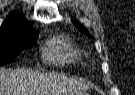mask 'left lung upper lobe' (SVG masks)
I'll return each instance as SVG.
<instances>
[{"instance_id": "left-lung-upper-lobe-1", "label": "left lung upper lobe", "mask_w": 135, "mask_h": 95, "mask_svg": "<svg viewBox=\"0 0 135 95\" xmlns=\"http://www.w3.org/2000/svg\"><path fill=\"white\" fill-rule=\"evenodd\" d=\"M74 25L77 27V29H78L80 32H82V33H84V34H86V35L92 37V36L89 34V32H88L83 26H81L78 22H74ZM92 38H93V37H92Z\"/></svg>"}]
</instances>
